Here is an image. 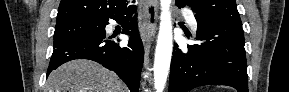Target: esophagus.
Listing matches in <instances>:
<instances>
[{
	"label": "esophagus",
	"mask_w": 289,
	"mask_h": 92,
	"mask_svg": "<svg viewBox=\"0 0 289 92\" xmlns=\"http://www.w3.org/2000/svg\"><path fill=\"white\" fill-rule=\"evenodd\" d=\"M145 19L140 25V37L144 44L153 40L156 34L158 22V1L145 0Z\"/></svg>",
	"instance_id": "34e87169"
}]
</instances>
